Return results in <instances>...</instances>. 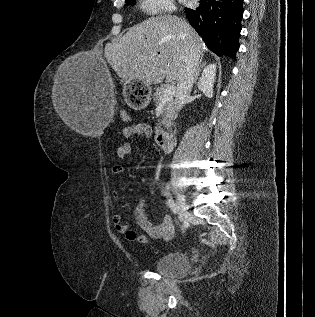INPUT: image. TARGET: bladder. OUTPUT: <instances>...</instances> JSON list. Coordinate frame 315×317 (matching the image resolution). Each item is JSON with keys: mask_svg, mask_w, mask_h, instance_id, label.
<instances>
[{"mask_svg": "<svg viewBox=\"0 0 315 317\" xmlns=\"http://www.w3.org/2000/svg\"><path fill=\"white\" fill-rule=\"evenodd\" d=\"M154 269L161 274L177 277L186 275L191 269V264L186 254L170 252L157 258Z\"/></svg>", "mask_w": 315, "mask_h": 317, "instance_id": "bladder-1", "label": "bladder"}]
</instances>
